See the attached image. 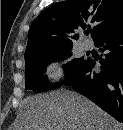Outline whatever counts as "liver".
Masks as SVG:
<instances>
[{
  "label": "liver",
  "instance_id": "liver-1",
  "mask_svg": "<svg viewBox=\"0 0 123 130\" xmlns=\"http://www.w3.org/2000/svg\"><path fill=\"white\" fill-rule=\"evenodd\" d=\"M12 130H122L123 126L84 96L57 90L20 103Z\"/></svg>",
  "mask_w": 123,
  "mask_h": 130
}]
</instances>
